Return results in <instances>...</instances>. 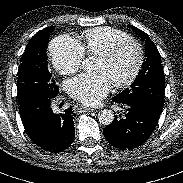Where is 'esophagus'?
Wrapping results in <instances>:
<instances>
[{"label": "esophagus", "instance_id": "1", "mask_svg": "<svg viewBox=\"0 0 183 183\" xmlns=\"http://www.w3.org/2000/svg\"><path fill=\"white\" fill-rule=\"evenodd\" d=\"M75 110L77 112H91V111H94L95 109L90 108V107H86L83 105H77V106H75Z\"/></svg>", "mask_w": 183, "mask_h": 183}]
</instances>
